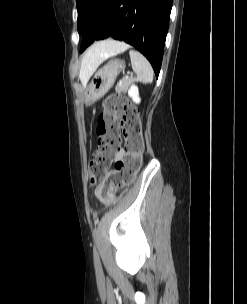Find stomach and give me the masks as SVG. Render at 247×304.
Here are the masks:
<instances>
[{"mask_svg":"<svg viewBox=\"0 0 247 304\" xmlns=\"http://www.w3.org/2000/svg\"><path fill=\"white\" fill-rule=\"evenodd\" d=\"M124 61L112 59L94 75L84 94V102L91 105L100 99L113 86L117 75L124 68Z\"/></svg>","mask_w":247,"mask_h":304,"instance_id":"obj_1","label":"stomach"}]
</instances>
